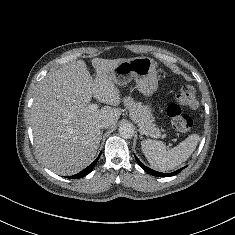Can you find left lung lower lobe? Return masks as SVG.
<instances>
[{"label":"left lung lower lobe","mask_w":235,"mask_h":235,"mask_svg":"<svg viewBox=\"0 0 235 235\" xmlns=\"http://www.w3.org/2000/svg\"><path fill=\"white\" fill-rule=\"evenodd\" d=\"M139 166L144 170L146 171L147 173L151 174V175H154V176H160V177H169V176H174L176 174H178L183 168L175 171V172H172V173H160V172H157L155 170H152L148 167H146L145 165H143L140 160L135 156Z\"/></svg>","instance_id":"1"}]
</instances>
